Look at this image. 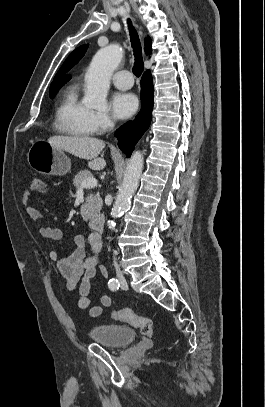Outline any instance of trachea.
<instances>
[{"mask_svg":"<svg viewBox=\"0 0 265 407\" xmlns=\"http://www.w3.org/2000/svg\"><path fill=\"white\" fill-rule=\"evenodd\" d=\"M128 25H129V30H130V37H131V44L135 56V63L133 67V73L139 77L144 69V64H143V58H142V49H141V44L139 40V36L136 32V30L132 26V22L130 19L127 20Z\"/></svg>","mask_w":265,"mask_h":407,"instance_id":"trachea-1","label":"trachea"}]
</instances>
